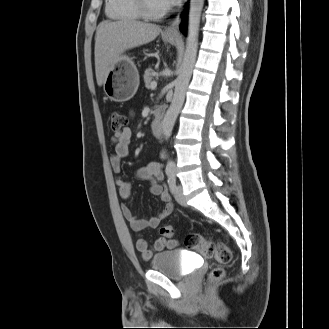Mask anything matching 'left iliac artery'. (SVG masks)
Listing matches in <instances>:
<instances>
[{"label": "left iliac artery", "mask_w": 329, "mask_h": 329, "mask_svg": "<svg viewBox=\"0 0 329 329\" xmlns=\"http://www.w3.org/2000/svg\"><path fill=\"white\" fill-rule=\"evenodd\" d=\"M167 182H168L170 191L172 193H175V191H176V176H175L174 173L168 174Z\"/></svg>", "instance_id": "44dca946"}]
</instances>
